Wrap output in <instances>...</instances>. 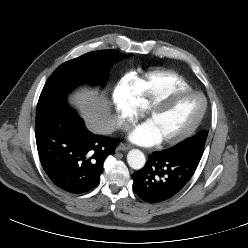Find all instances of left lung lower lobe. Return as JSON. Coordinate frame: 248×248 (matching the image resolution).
<instances>
[{"mask_svg": "<svg viewBox=\"0 0 248 248\" xmlns=\"http://www.w3.org/2000/svg\"><path fill=\"white\" fill-rule=\"evenodd\" d=\"M202 154L171 149L154 152L145 166L132 175L134 192L150 203L173 198L191 179Z\"/></svg>", "mask_w": 248, "mask_h": 248, "instance_id": "0a47b994", "label": "left lung lower lobe"}]
</instances>
